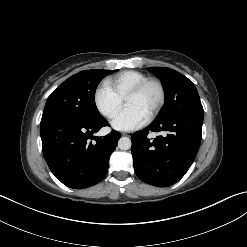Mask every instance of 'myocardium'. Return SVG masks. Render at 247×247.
Segmentation results:
<instances>
[{
  "label": "myocardium",
  "mask_w": 247,
  "mask_h": 247,
  "mask_svg": "<svg viewBox=\"0 0 247 247\" xmlns=\"http://www.w3.org/2000/svg\"><path fill=\"white\" fill-rule=\"evenodd\" d=\"M151 85H154L158 89L159 98L156 105L148 115L149 120H152L159 114L166 101V89L161 80L156 78H148L143 82L139 83L138 85H136L134 88H132L124 98V101H126L130 97H135L141 94L147 87Z\"/></svg>",
  "instance_id": "obj_1"
}]
</instances>
